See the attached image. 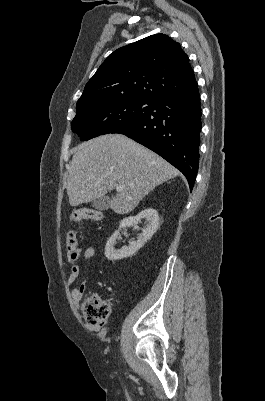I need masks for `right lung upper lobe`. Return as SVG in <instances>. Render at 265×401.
I'll return each mask as SVG.
<instances>
[{"label":"right lung upper lobe","instance_id":"obj_1","mask_svg":"<svg viewBox=\"0 0 265 401\" xmlns=\"http://www.w3.org/2000/svg\"><path fill=\"white\" fill-rule=\"evenodd\" d=\"M196 83L180 44L167 35L156 34L110 54L86 84L76 106L109 97L158 102Z\"/></svg>","mask_w":265,"mask_h":401}]
</instances>
